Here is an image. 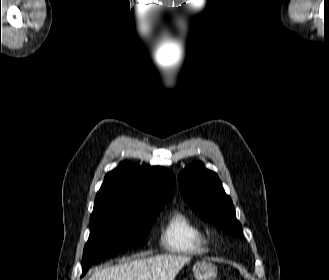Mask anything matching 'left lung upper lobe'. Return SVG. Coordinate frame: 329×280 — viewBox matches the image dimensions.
Listing matches in <instances>:
<instances>
[{"instance_id": "left-lung-upper-lobe-1", "label": "left lung upper lobe", "mask_w": 329, "mask_h": 280, "mask_svg": "<svg viewBox=\"0 0 329 280\" xmlns=\"http://www.w3.org/2000/svg\"><path fill=\"white\" fill-rule=\"evenodd\" d=\"M178 179L182 196L192 210L223 231L243 237L232 200L216 173L195 162L186 167Z\"/></svg>"}]
</instances>
